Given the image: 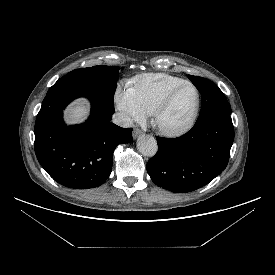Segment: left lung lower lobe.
<instances>
[{"instance_id": "0a47b994", "label": "left lung lower lobe", "mask_w": 275, "mask_h": 275, "mask_svg": "<svg viewBox=\"0 0 275 275\" xmlns=\"http://www.w3.org/2000/svg\"><path fill=\"white\" fill-rule=\"evenodd\" d=\"M234 140L230 116L196 122L177 138L157 137L158 152L147 163L151 180L176 193L199 189L227 166Z\"/></svg>"}]
</instances>
